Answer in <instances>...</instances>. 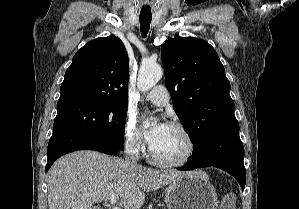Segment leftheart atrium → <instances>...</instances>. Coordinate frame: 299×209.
I'll list each match as a JSON object with an SVG mask.
<instances>
[{"label":"left heart atrium","instance_id":"obj_1","mask_svg":"<svg viewBox=\"0 0 299 209\" xmlns=\"http://www.w3.org/2000/svg\"><path fill=\"white\" fill-rule=\"evenodd\" d=\"M166 128L167 124L160 122L145 132V139L150 147H152L159 140Z\"/></svg>","mask_w":299,"mask_h":209}]
</instances>
